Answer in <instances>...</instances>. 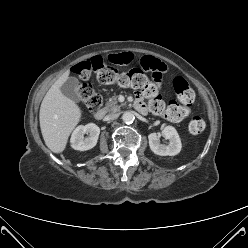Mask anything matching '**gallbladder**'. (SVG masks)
<instances>
[{"instance_id":"gallbladder-1","label":"gallbladder","mask_w":248,"mask_h":248,"mask_svg":"<svg viewBox=\"0 0 248 248\" xmlns=\"http://www.w3.org/2000/svg\"><path fill=\"white\" fill-rule=\"evenodd\" d=\"M79 81L75 77H69L67 81L60 87V91L63 95L68 97L71 100L78 101V90Z\"/></svg>"}]
</instances>
